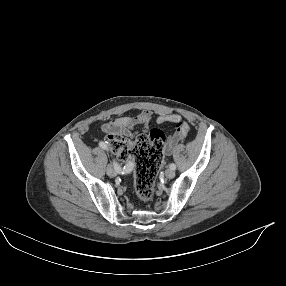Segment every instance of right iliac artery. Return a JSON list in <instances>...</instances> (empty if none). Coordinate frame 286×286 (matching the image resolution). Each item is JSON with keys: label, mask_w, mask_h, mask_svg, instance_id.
<instances>
[{"label": "right iliac artery", "mask_w": 286, "mask_h": 286, "mask_svg": "<svg viewBox=\"0 0 286 286\" xmlns=\"http://www.w3.org/2000/svg\"><path fill=\"white\" fill-rule=\"evenodd\" d=\"M99 146H100L102 149H105V150L107 149V144H106L105 142H100V143H99ZM114 166H115V169L118 170V171L124 172V171L126 170V166H124V168H120V167L118 166V164L115 163V162H114Z\"/></svg>", "instance_id": "1"}]
</instances>
